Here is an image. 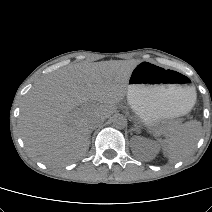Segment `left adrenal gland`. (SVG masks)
<instances>
[{"mask_svg": "<svg viewBox=\"0 0 212 212\" xmlns=\"http://www.w3.org/2000/svg\"><path fill=\"white\" fill-rule=\"evenodd\" d=\"M132 130L138 132V127L136 126L135 128H133Z\"/></svg>", "mask_w": 212, "mask_h": 212, "instance_id": "obj_1", "label": "left adrenal gland"}]
</instances>
